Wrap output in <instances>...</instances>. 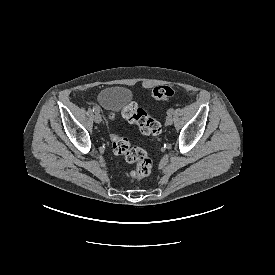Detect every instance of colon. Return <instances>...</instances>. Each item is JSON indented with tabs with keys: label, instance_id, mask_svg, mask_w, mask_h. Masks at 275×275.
Masks as SVG:
<instances>
[{
	"label": "colon",
	"instance_id": "1",
	"mask_svg": "<svg viewBox=\"0 0 275 275\" xmlns=\"http://www.w3.org/2000/svg\"><path fill=\"white\" fill-rule=\"evenodd\" d=\"M176 93V89L167 85H160L152 90V97L155 100L165 101ZM124 117L135 123L145 135L156 136L162 131L160 122L140 109L135 103L129 102L123 108ZM112 147L116 155L123 156L129 163H135L128 176L131 181L137 182L148 176L152 171V161L147 153L139 147H133L130 141L117 134L111 133Z\"/></svg>",
	"mask_w": 275,
	"mask_h": 275
}]
</instances>
